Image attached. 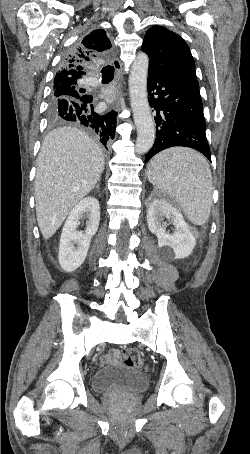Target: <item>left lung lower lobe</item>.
Segmentation results:
<instances>
[{
    "instance_id": "obj_1",
    "label": "left lung lower lobe",
    "mask_w": 250,
    "mask_h": 454,
    "mask_svg": "<svg viewBox=\"0 0 250 454\" xmlns=\"http://www.w3.org/2000/svg\"><path fill=\"white\" fill-rule=\"evenodd\" d=\"M147 88L149 104L156 110V139L145 163L174 146L196 149L211 161L198 81L149 70Z\"/></svg>"
}]
</instances>
